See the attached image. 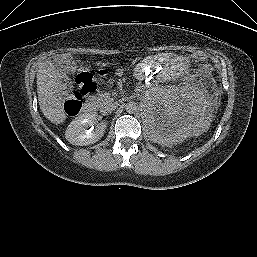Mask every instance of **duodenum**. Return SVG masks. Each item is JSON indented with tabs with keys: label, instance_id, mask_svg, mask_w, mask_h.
<instances>
[{
	"label": "duodenum",
	"instance_id": "obj_1",
	"mask_svg": "<svg viewBox=\"0 0 257 257\" xmlns=\"http://www.w3.org/2000/svg\"><path fill=\"white\" fill-rule=\"evenodd\" d=\"M83 112L87 115H91L95 111V106L92 102H87L83 105Z\"/></svg>",
	"mask_w": 257,
	"mask_h": 257
}]
</instances>
